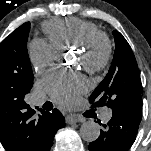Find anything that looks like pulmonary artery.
<instances>
[{
  "label": "pulmonary artery",
  "instance_id": "pulmonary-artery-1",
  "mask_svg": "<svg viewBox=\"0 0 151 151\" xmlns=\"http://www.w3.org/2000/svg\"><path fill=\"white\" fill-rule=\"evenodd\" d=\"M44 102H45V98L44 97H42V96H36L35 98H34V103L36 104V105H42V104H44ZM111 116H112V111L110 110V109H106L103 113H102V120H104V121H108V120H110V118H111Z\"/></svg>",
  "mask_w": 151,
  "mask_h": 151
}]
</instances>
